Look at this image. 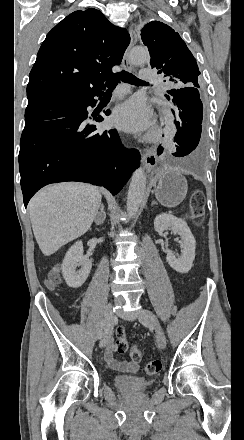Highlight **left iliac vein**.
I'll return each mask as SVG.
<instances>
[{
	"mask_svg": "<svg viewBox=\"0 0 244 440\" xmlns=\"http://www.w3.org/2000/svg\"><path fill=\"white\" fill-rule=\"evenodd\" d=\"M138 320L143 325L152 327L156 332V342L160 349H165L166 339L164 331L156 317V315L147 309H141L138 313Z\"/></svg>",
	"mask_w": 244,
	"mask_h": 440,
	"instance_id": "1",
	"label": "left iliac vein"
}]
</instances>
